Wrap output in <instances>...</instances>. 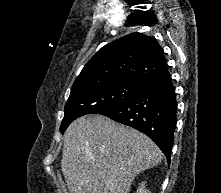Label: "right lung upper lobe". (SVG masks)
I'll list each match as a JSON object with an SVG mask.
<instances>
[{
  "instance_id": "cb5924a9",
  "label": "right lung upper lobe",
  "mask_w": 221,
  "mask_h": 193,
  "mask_svg": "<svg viewBox=\"0 0 221 193\" xmlns=\"http://www.w3.org/2000/svg\"><path fill=\"white\" fill-rule=\"evenodd\" d=\"M167 75L166 59L157 40L136 32L102 47L84 66L71 90L117 82L143 84Z\"/></svg>"
}]
</instances>
